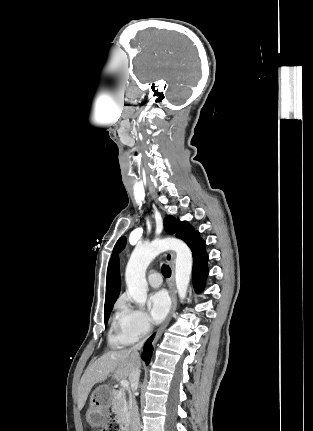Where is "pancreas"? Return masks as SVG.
<instances>
[{"mask_svg": "<svg viewBox=\"0 0 313 431\" xmlns=\"http://www.w3.org/2000/svg\"><path fill=\"white\" fill-rule=\"evenodd\" d=\"M113 395L112 411L116 414L118 420L122 422L127 416L129 409V402L126 398V392L124 389H120L114 391Z\"/></svg>", "mask_w": 313, "mask_h": 431, "instance_id": "pancreas-1", "label": "pancreas"}]
</instances>
